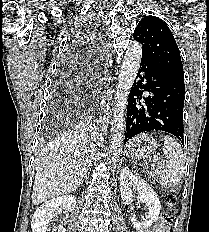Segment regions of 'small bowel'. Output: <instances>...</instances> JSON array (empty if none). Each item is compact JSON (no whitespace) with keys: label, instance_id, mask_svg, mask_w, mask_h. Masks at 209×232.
<instances>
[{"label":"small bowel","instance_id":"obj_1","mask_svg":"<svg viewBox=\"0 0 209 232\" xmlns=\"http://www.w3.org/2000/svg\"><path fill=\"white\" fill-rule=\"evenodd\" d=\"M151 232H169L167 226H163L160 223Z\"/></svg>","mask_w":209,"mask_h":232}]
</instances>
